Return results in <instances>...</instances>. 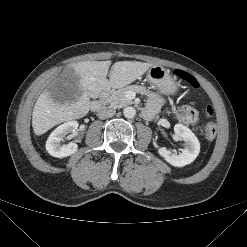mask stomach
<instances>
[{
	"label": "stomach",
	"instance_id": "obj_1",
	"mask_svg": "<svg viewBox=\"0 0 247 247\" xmlns=\"http://www.w3.org/2000/svg\"><path fill=\"white\" fill-rule=\"evenodd\" d=\"M147 80L163 94H174L177 84L171 78L168 70L162 66H152L147 71Z\"/></svg>",
	"mask_w": 247,
	"mask_h": 247
}]
</instances>
